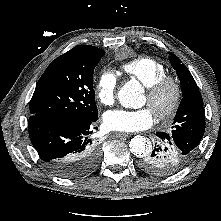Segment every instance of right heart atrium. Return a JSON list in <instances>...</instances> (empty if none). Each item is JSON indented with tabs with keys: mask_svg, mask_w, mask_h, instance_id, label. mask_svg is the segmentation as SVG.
<instances>
[{
	"mask_svg": "<svg viewBox=\"0 0 221 221\" xmlns=\"http://www.w3.org/2000/svg\"><path fill=\"white\" fill-rule=\"evenodd\" d=\"M117 79L109 70L102 71L96 81L95 95L97 100L106 106L112 105L116 95Z\"/></svg>",
	"mask_w": 221,
	"mask_h": 221,
	"instance_id": "1",
	"label": "right heart atrium"
}]
</instances>
